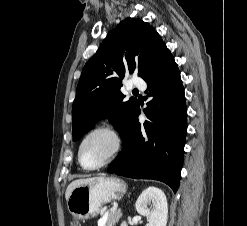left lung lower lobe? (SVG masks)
<instances>
[{
    "label": "left lung lower lobe",
    "instance_id": "1",
    "mask_svg": "<svg viewBox=\"0 0 247 226\" xmlns=\"http://www.w3.org/2000/svg\"><path fill=\"white\" fill-rule=\"evenodd\" d=\"M152 99L144 109L148 120L141 126L137 105L130 122L120 132L122 150L107 169L109 173L154 179L177 191L184 158L187 109L180 72L166 47L144 75Z\"/></svg>",
    "mask_w": 247,
    "mask_h": 226
}]
</instances>
